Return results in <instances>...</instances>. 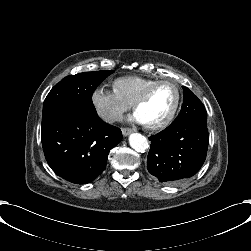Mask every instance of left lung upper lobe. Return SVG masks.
I'll use <instances>...</instances> for the list:
<instances>
[{
  "mask_svg": "<svg viewBox=\"0 0 251 251\" xmlns=\"http://www.w3.org/2000/svg\"><path fill=\"white\" fill-rule=\"evenodd\" d=\"M184 98L183 105L179 115L171 125L186 120H207V112L202 102L187 87L182 86Z\"/></svg>",
  "mask_w": 251,
  "mask_h": 251,
  "instance_id": "5c2ea615",
  "label": "left lung upper lobe"
}]
</instances>
